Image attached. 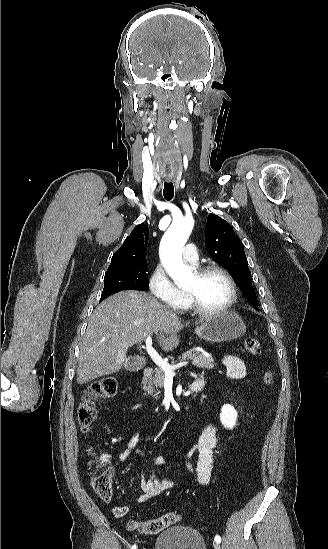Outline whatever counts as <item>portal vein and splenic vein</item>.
I'll list each match as a JSON object with an SVG mask.
<instances>
[{"instance_id":"1","label":"portal vein and splenic vein","mask_w":328,"mask_h":549,"mask_svg":"<svg viewBox=\"0 0 328 549\" xmlns=\"http://www.w3.org/2000/svg\"><path fill=\"white\" fill-rule=\"evenodd\" d=\"M145 343H146L145 349L149 357H151L152 361H154L157 367H160V369H163L164 373H173L175 369H180V367H184V365L187 364V361H182V363H178V365H169V363H167V361H163L162 357H160L157 351L153 349L152 337H146Z\"/></svg>"}]
</instances>
